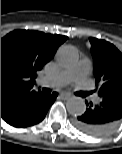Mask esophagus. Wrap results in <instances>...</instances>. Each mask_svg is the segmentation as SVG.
I'll return each instance as SVG.
<instances>
[{
	"mask_svg": "<svg viewBox=\"0 0 122 154\" xmlns=\"http://www.w3.org/2000/svg\"><path fill=\"white\" fill-rule=\"evenodd\" d=\"M60 96L63 99L67 100V99H69L71 97V94L70 93H67V92H62V93H60Z\"/></svg>",
	"mask_w": 122,
	"mask_h": 154,
	"instance_id": "34e87169",
	"label": "esophagus"
}]
</instances>
